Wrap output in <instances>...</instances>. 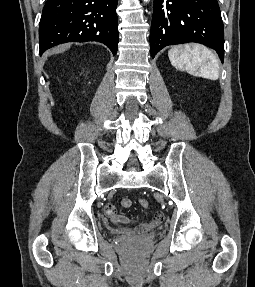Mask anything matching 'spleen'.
<instances>
[{"label": "spleen", "mask_w": 255, "mask_h": 287, "mask_svg": "<svg viewBox=\"0 0 255 287\" xmlns=\"http://www.w3.org/2000/svg\"><path fill=\"white\" fill-rule=\"evenodd\" d=\"M168 58L174 68H188L207 80L219 78V62L216 56L199 44L173 46L168 52Z\"/></svg>", "instance_id": "1"}]
</instances>
